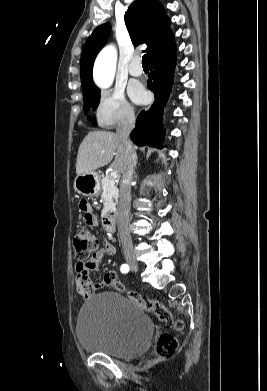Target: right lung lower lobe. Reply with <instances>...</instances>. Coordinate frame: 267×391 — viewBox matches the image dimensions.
<instances>
[{"instance_id":"98d812e1","label":"right lung lower lobe","mask_w":267,"mask_h":391,"mask_svg":"<svg viewBox=\"0 0 267 391\" xmlns=\"http://www.w3.org/2000/svg\"><path fill=\"white\" fill-rule=\"evenodd\" d=\"M176 50L174 43L149 59L151 71L147 84L156 100L150 109L141 111L136 127L130 135L131 140L138 146L163 147L165 133L162 128L163 107L166 105L173 82Z\"/></svg>"}]
</instances>
